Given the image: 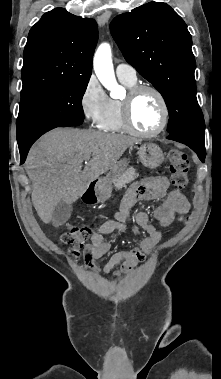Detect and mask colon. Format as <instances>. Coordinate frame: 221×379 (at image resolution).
<instances>
[{
    "label": "colon",
    "mask_w": 221,
    "mask_h": 379,
    "mask_svg": "<svg viewBox=\"0 0 221 379\" xmlns=\"http://www.w3.org/2000/svg\"><path fill=\"white\" fill-rule=\"evenodd\" d=\"M170 163L171 183L177 189L184 188L188 183L189 161L187 155L178 150L172 149L168 153ZM90 236V229L86 226H70L60 236V241L74 249L86 247Z\"/></svg>",
    "instance_id": "colon-1"
}]
</instances>
